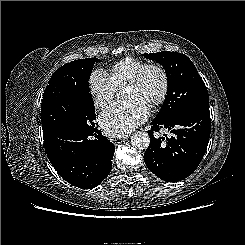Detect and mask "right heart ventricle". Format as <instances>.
<instances>
[{"label": "right heart ventricle", "instance_id": "right-heart-ventricle-1", "mask_svg": "<svg viewBox=\"0 0 245 245\" xmlns=\"http://www.w3.org/2000/svg\"><path fill=\"white\" fill-rule=\"evenodd\" d=\"M148 64L147 61L134 57H127L111 65L107 70V76L116 89L122 88Z\"/></svg>", "mask_w": 245, "mask_h": 245}]
</instances>
